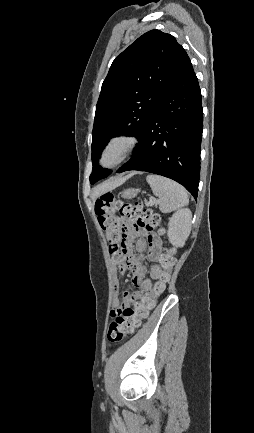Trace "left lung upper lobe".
Masks as SVG:
<instances>
[{
  "instance_id": "5c2ea615",
  "label": "left lung upper lobe",
  "mask_w": 254,
  "mask_h": 433,
  "mask_svg": "<svg viewBox=\"0 0 254 433\" xmlns=\"http://www.w3.org/2000/svg\"><path fill=\"white\" fill-rule=\"evenodd\" d=\"M186 57L172 35L151 30L115 58L96 105L91 184L111 173L98 164L109 139L120 134L140 139Z\"/></svg>"
}]
</instances>
